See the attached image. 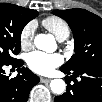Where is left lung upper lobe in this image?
<instances>
[{
    "mask_svg": "<svg viewBox=\"0 0 102 102\" xmlns=\"http://www.w3.org/2000/svg\"><path fill=\"white\" fill-rule=\"evenodd\" d=\"M69 24L75 41V54L61 66L65 70L102 67V19L83 9L54 10Z\"/></svg>",
    "mask_w": 102,
    "mask_h": 102,
    "instance_id": "left-lung-upper-lobe-1",
    "label": "left lung upper lobe"
}]
</instances>
